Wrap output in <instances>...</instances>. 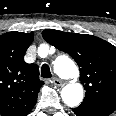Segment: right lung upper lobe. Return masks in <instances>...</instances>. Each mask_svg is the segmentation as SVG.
Returning a JSON list of instances; mask_svg holds the SVG:
<instances>
[{"mask_svg": "<svg viewBox=\"0 0 116 116\" xmlns=\"http://www.w3.org/2000/svg\"><path fill=\"white\" fill-rule=\"evenodd\" d=\"M33 38L23 32L0 35V116H26L36 104L43 81L38 66L24 61Z\"/></svg>", "mask_w": 116, "mask_h": 116, "instance_id": "cb5924a9", "label": "right lung upper lobe"}]
</instances>
